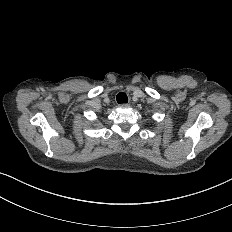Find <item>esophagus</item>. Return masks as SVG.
Returning <instances> with one entry per match:
<instances>
[{
    "mask_svg": "<svg viewBox=\"0 0 232 232\" xmlns=\"http://www.w3.org/2000/svg\"><path fill=\"white\" fill-rule=\"evenodd\" d=\"M119 107L120 108H129L130 104H128V103H122V104H119Z\"/></svg>",
    "mask_w": 232,
    "mask_h": 232,
    "instance_id": "1",
    "label": "esophagus"
}]
</instances>
